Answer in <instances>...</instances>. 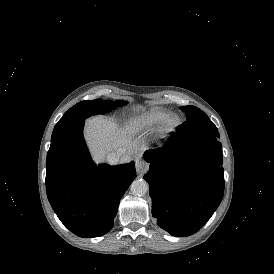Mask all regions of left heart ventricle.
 <instances>
[{
	"mask_svg": "<svg viewBox=\"0 0 274 274\" xmlns=\"http://www.w3.org/2000/svg\"><path fill=\"white\" fill-rule=\"evenodd\" d=\"M178 120H179L178 116H174V117L170 120L169 125H170V126L175 125V124L178 122Z\"/></svg>",
	"mask_w": 274,
	"mask_h": 274,
	"instance_id": "1",
	"label": "left heart ventricle"
}]
</instances>
